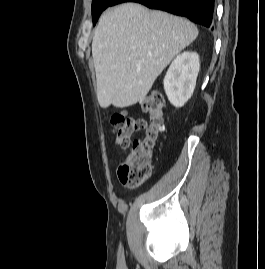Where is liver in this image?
<instances>
[{"label": "liver", "instance_id": "obj_1", "mask_svg": "<svg viewBox=\"0 0 265 269\" xmlns=\"http://www.w3.org/2000/svg\"><path fill=\"white\" fill-rule=\"evenodd\" d=\"M198 36L184 18L124 3L106 11L93 36L97 99L102 108L143 100L171 60Z\"/></svg>", "mask_w": 265, "mask_h": 269}]
</instances>
